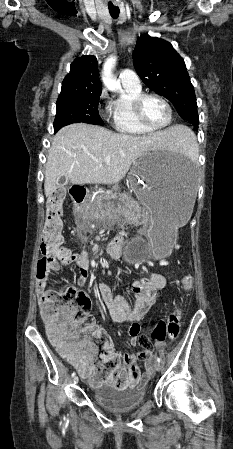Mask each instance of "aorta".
Instances as JSON below:
<instances>
[{
  "instance_id": "aorta-1",
  "label": "aorta",
  "mask_w": 233,
  "mask_h": 449,
  "mask_svg": "<svg viewBox=\"0 0 233 449\" xmlns=\"http://www.w3.org/2000/svg\"><path fill=\"white\" fill-rule=\"evenodd\" d=\"M115 64H116V57L111 56L105 61L102 71V80L104 85L110 91L114 92L122 91L120 83L116 80V78L113 75V68Z\"/></svg>"
}]
</instances>
